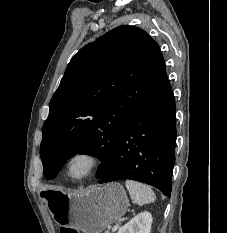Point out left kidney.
<instances>
[{"label":"left kidney","mask_w":227,"mask_h":233,"mask_svg":"<svg viewBox=\"0 0 227 233\" xmlns=\"http://www.w3.org/2000/svg\"><path fill=\"white\" fill-rule=\"evenodd\" d=\"M152 220L149 212H141L122 226L117 233H150Z\"/></svg>","instance_id":"obj_1"}]
</instances>
